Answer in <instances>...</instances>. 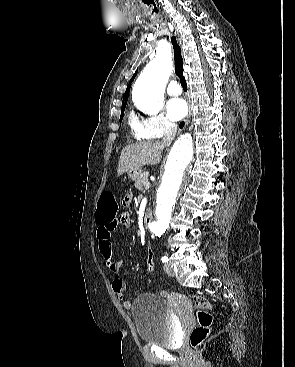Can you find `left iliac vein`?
<instances>
[{
  "instance_id": "1",
  "label": "left iliac vein",
  "mask_w": 295,
  "mask_h": 367,
  "mask_svg": "<svg viewBox=\"0 0 295 367\" xmlns=\"http://www.w3.org/2000/svg\"><path fill=\"white\" fill-rule=\"evenodd\" d=\"M164 270H165V272H166L169 276H174V275H175L174 268H173L169 263H166V264L164 265Z\"/></svg>"
}]
</instances>
